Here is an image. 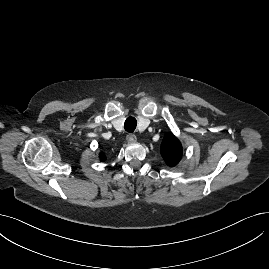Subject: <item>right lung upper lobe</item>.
Returning <instances> with one entry per match:
<instances>
[{"label": "right lung upper lobe", "instance_id": "cb5924a9", "mask_svg": "<svg viewBox=\"0 0 269 269\" xmlns=\"http://www.w3.org/2000/svg\"><path fill=\"white\" fill-rule=\"evenodd\" d=\"M99 157H100L101 160H105L106 159V156H105L104 153H100Z\"/></svg>", "mask_w": 269, "mask_h": 269}]
</instances>
